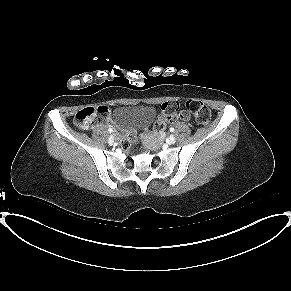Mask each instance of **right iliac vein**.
Segmentation results:
<instances>
[{"instance_id":"right-iliac-vein-1","label":"right iliac vein","mask_w":291,"mask_h":291,"mask_svg":"<svg viewBox=\"0 0 291 291\" xmlns=\"http://www.w3.org/2000/svg\"><path fill=\"white\" fill-rule=\"evenodd\" d=\"M114 135H115V133L109 137V139H108V143L109 144H113L114 143Z\"/></svg>"}]
</instances>
